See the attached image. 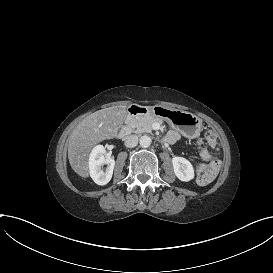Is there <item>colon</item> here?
Here are the masks:
<instances>
[{
  "mask_svg": "<svg viewBox=\"0 0 273 273\" xmlns=\"http://www.w3.org/2000/svg\"><path fill=\"white\" fill-rule=\"evenodd\" d=\"M219 165V160L215 159L207 163L205 166H202L200 168V184H208L216 176Z\"/></svg>",
  "mask_w": 273,
  "mask_h": 273,
  "instance_id": "1",
  "label": "colon"
}]
</instances>
